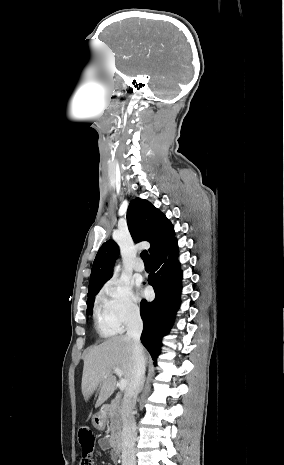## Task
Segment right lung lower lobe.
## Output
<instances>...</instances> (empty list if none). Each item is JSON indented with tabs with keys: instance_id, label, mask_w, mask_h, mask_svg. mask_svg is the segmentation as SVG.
<instances>
[{
	"instance_id": "obj_1",
	"label": "right lung lower lobe",
	"mask_w": 284,
	"mask_h": 465,
	"mask_svg": "<svg viewBox=\"0 0 284 465\" xmlns=\"http://www.w3.org/2000/svg\"><path fill=\"white\" fill-rule=\"evenodd\" d=\"M178 246L174 238L167 246L150 257L152 272L148 283L155 290L152 302L141 301L140 314L144 323L141 341L154 364L161 351L162 337L168 334L180 306L182 274L177 260Z\"/></svg>"
}]
</instances>
